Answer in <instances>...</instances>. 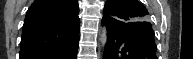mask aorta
<instances>
[{"label": "aorta", "instance_id": "1", "mask_svg": "<svg viewBox=\"0 0 193 59\" xmlns=\"http://www.w3.org/2000/svg\"><path fill=\"white\" fill-rule=\"evenodd\" d=\"M99 42L102 49L105 48L107 43V29L103 27L99 35Z\"/></svg>", "mask_w": 193, "mask_h": 59}]
</instances>
